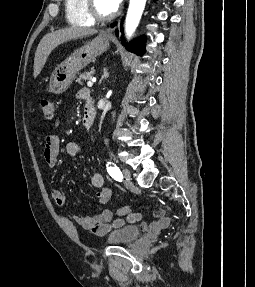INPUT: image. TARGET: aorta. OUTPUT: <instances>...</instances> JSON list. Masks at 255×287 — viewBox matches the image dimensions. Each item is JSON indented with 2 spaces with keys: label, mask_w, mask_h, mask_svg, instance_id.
<instances>
[{
  "label": "aorta",
  "mask_w": 255,
  "mask_h": 287,
  "mask_svg": "<svg viewBox=\"0 0 255 287\" xmlns=\"http://www.w3.org/2000/svg\"><path fill=\"white\" fill-rule=\"evenodd\" d=\"M145 4L146 0H130L125 22L127 37H131L136 30L144 11Z\"/></svg>",
  "instance_id": "aorta-1"
}]
</instances>
